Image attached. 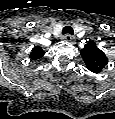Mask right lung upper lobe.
<instances>
[{"instance_id":"cb5924a9","label":"right lung upper lobe","mask_w":115,"mask_h":119,"mask_svg":"<svg viewBox=\"0 0 115 119\" xmlns=\"http://www.w3.org/2000/svg\"><path fill=\"white\" fill-rule=\"evenodd\" d=\"M44 55V51L40 46H35L30 54V58L32 60H37L39 58H41Z\"/></svg>"}]
</instances>
